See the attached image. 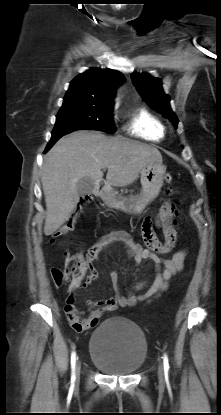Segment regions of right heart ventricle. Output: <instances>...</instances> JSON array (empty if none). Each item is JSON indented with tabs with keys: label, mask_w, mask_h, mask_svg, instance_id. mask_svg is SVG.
Listing matches in <instances>:
<instances>
[{
	"label": "right heart ventricle",
	"mask_w": 221,
	"mask_h": 415,
	"mask_svg": "<svg viewBox=\"0 0 221 415\" xmlns=\"http://www.w3.org/2000/svg\"><path fill=\"white\" fill-rule=\"evenodd\" d=\"M125 130L131 136L157 142L166 135L162 120L150 110L140 107L131 112L125 124Z\"/></svg>",
	"instance_id": "obj_1"
}]
</instances>
